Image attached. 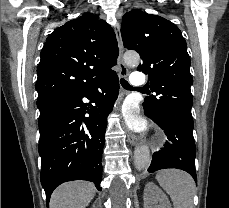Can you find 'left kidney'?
Listing matches in <instances>:
<instances>
[{
  "mask_svg": "<svg viewBox=\"0 0 229 208\" xmlns=\"http://www.w3.org/2000/svg\"><path fill=\"white\" fill-rule=\"evenodd\" d=\"M158 202L160 206H154V204H158ZM144 204V208H171L166 194H164L158 186H155L153 182H148L145 186Z\"/></svg>",
  "mask_w": 229,
  "mask_h": 208,
  "instance_id": "obj_1",
  "label": "left kidney"
}]
</instances>
